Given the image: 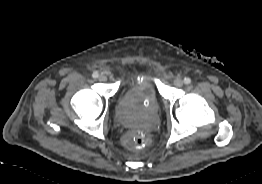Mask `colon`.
Listing matches in <instances>:
<instances>
[{
    "instance_id": "5ec220e1",
    "label": "colon",
    "mask_w": 262,
    "mask_h": 184,
    "mask_svg": "<svg viewBox=\"0 0 262 184\" xmlns=\"http://www.w3.org/2000/svg\"><path fill=\"white\" fill-rule=\"evenodd\" d=\"M124 144L128 148L140 149L146 146L147 138L141 133H136L125 137Z\"/></svg>"
}]
</instances>
